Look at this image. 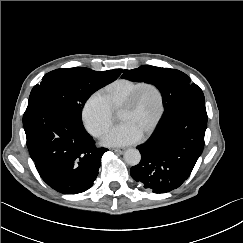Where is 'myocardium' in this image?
Returning <instances> with one entry per match:
<instances>
[{"label":"myocardium","mask_w":243,"mask_h":243,"mask_svg":"<svg viewBox=\"0 0 243 243\" xmlns=\"http://www.w3.org/2000/svg\"><path fill=\"white\" fill-rule=\"evenodd\" d=\"M146 87H152L157 91L160 105H159V112L157 114L155 121L150 126V128L144 134H142L143 137L150 136L157 129L158 125L160 124L163 118L165 112V95L162 88L155 82H151V81L142 82L139 86L135 88V90L131 93V95L127 98V100L122 104L120 108V112L133 109L137 103L140 92Z\"/></svg>","instance_id":"f54148a6"}]
</instances>
